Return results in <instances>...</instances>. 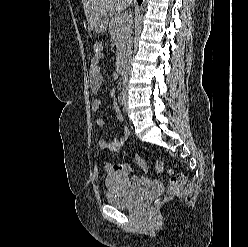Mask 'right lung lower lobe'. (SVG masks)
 I'll list each match as a JSON object with an SVG mask.
<instances>
[{
    "instance_id": "1",
    "label": "right lung lower lobe",
    "mask_w": 248,
    "mask_h": 247,
    "mask_svg": "<svg viewBox=\"0 0 248 247\" xmlns=\"http://www.w3.org/2000/svg\"><path fill=\"white\" fill-rule=\"evenodd\" d=\"M137 1H138L139 4H141L143 0H137Z\"/></svg>"
}]
</instances>
